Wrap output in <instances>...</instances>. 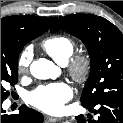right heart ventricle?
<instances>
[{"label":"right heart ventricle","mask_w":123,"mask_h":123,"mask_svg":"<svg viewBox=\"0 0 123 123\" xmlns=\"http://www.w3.org/2000/svg\"><path fill=\"white\" fill-rule=\"evenodd\" d=\"M42 48L56 62L64 65L75 50V43L67 36L55 35L45 39Z\"/></svg>","instance_id":"e07e8e85"}]
</instances>
